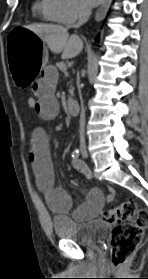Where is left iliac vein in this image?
I'll use <instances>...</instances> for the list:
<instances>
[{"instance_id":"left-iliac-vein-1","label":"left iliac vein","mask_w":148,"mask_h":279,"mask_svg":"<svg viewBox=\"0 0 148 279\" xmlns=\"http://www.w3.org/2000/svg\"><path fill=\"white\" fill-rule=\"evenodd\" d=\"M82 156L84 158H87L88 157V153H87V150L86 149H82Z\"/></svg>"}]
</instances>
